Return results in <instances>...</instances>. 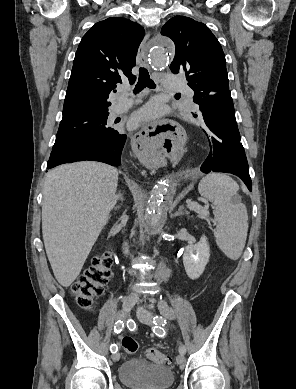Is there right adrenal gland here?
<instances>
[{"mask_svg":"<svg viewBox=\"0 0 296 389\" xmlns=\"http://www.w3.org/2000/svg\"><path fill=\"white\" fill-rule=\"evenodd\" d=\"M119 198H120L121 200H123V197H122L121 193H119ZM120 207H121L120 205L113 206V209L116 211V210H119Z\"/></svg>","mask_w":296,"mask_h":389,"instance_id":"1","label":"right adrenal gland"}]
</instances>
